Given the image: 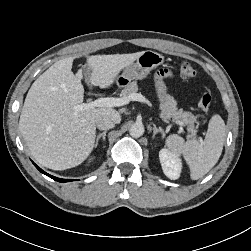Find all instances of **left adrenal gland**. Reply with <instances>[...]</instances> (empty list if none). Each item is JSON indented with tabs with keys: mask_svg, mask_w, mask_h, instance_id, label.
Masks as SVG:
<instances>
[{
	"mask_svg": "<svg viewBox=\"0 0 251 251\" xmlns=\"http://www.w3.org/2000/svg\"><path fill=\"white\" fill-rule=\"evenodd\" d=\"M151 130H153V138L156 136V134L160 133L163 136L165 135L163 129L161 127L157 128L156 126H154Z\"/></svg>",
	"mask_w": 251,
	"mask_h": 251,
	"instance_id": "left-adrenal-gland-1",
	"label": "left adrenal gland"
}]
</instances>
